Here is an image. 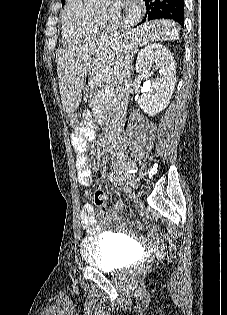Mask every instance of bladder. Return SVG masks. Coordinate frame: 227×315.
<instances>
[{
	"instance_id": "obj_1",
	"label": "bladder",
	"mask_w": 227,
	"mask_h": 315,
	"mask_svg": "<svg viewBox=\"0 0 227 315\" xmlns=\"http://www.w3.org/2000/svg\"><path fill=\"white\" fill-rule=\"evenodd\" d=\"M130 251L121 238L110 235L88 236L81 243L83 261L103 271L122 267Z\"/></svg>"
}]
</instances>
